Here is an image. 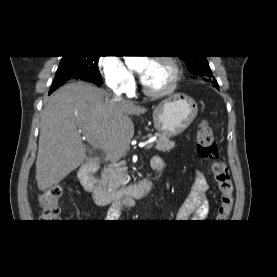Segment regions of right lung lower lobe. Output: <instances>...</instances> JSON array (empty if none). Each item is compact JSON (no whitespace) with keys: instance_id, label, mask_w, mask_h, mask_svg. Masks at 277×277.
Returning a JSON list of instances; mask_svg holds the SVG:
<instances>
[{"instance_id":"1","label":"right lung lower lobe","mask_w":277,"mask_h":277,"mask_svg":"<svg viewBox=\"0 0 277 277\" xmlns=\"http://www.w3.org/2000/svg\"><path fill=\"white\" fill-rule=\"evenodd\" d=\"M78 78L83 79V80H87V81H90V82H93V83H97V84L100 85V82H94L90 78H87V77L73 75V74H68V75L62 74V75H58V76L55 77V79L52 83L51 89H50V93L55 91L63 82H66L70 79H78Z\"/></svg>"}]
</instances>
